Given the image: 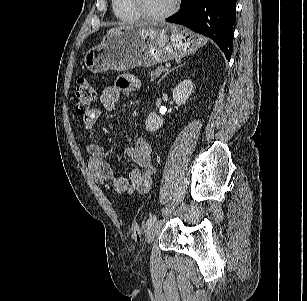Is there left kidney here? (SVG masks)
<instances>
[{"label": "left kidney", "instance_id": "5707ae66", "mask_svg": "<svg viewBox=\"0 0 307 301\" xmlns=\"http://www.w3.org/2000/svg\"><path fill=\"white\" fill-rule=\"evenodd\" d=\"M193 91V83L190 80H183L173 90V100L178 106L186 103ZM164 120L156 113L152 112L145 121L147 131L153 132L163 125Z\"/></svg>", "mask_w": 307, "mask_h": 301}]
</instances>
